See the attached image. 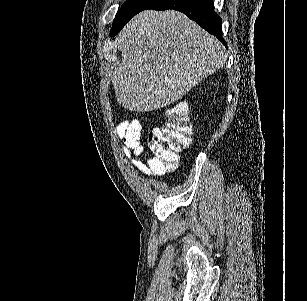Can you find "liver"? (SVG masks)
I'll return each instance as SVG.
<instances>
[{
  "mask_svg": "<svg viewBox=\"0 0 307 301\" xmlns=\"http://www.w3.org/2000/svg\"><path fill=\"white\" fill-rule=\"evenodd\" d=\"M112 80L127 110H156L185 96L227 60L222 42L178 10H142L116 36Z\"/></svg>",
  "mask_w": 307,
  "mask_h": 301,
  "instance_id": "1",
  "label": "liver"
}]
</instances>
